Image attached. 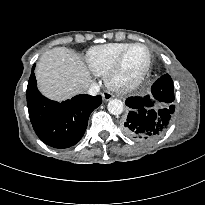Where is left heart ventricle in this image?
Returning a JSON list of instances; mask_svg holds the SVG:
<instances>
[{
	"mask_svg": "<svg viewBox=\"0 0 205 205\" xmlns=\"http://www.w3.org/2000/svg\"><path fill=\"white\" fill-rule=\"evenodd\" d=\"M147 58V51L143 47L133 48L124 60L122 77L129 79L136 76L145 67Z\"/></svg>",
	"mask_w": 205,
	"mask_h": 205,
	"instance_id": "left-heart-ventricle-1",
	"label": "left heart ventricle"
}]
</instances>
